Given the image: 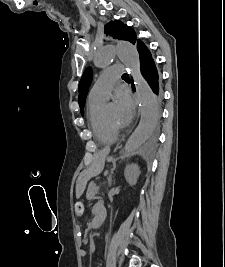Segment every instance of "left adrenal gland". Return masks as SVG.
Segmentation results:
<instances>
[{
  "mask_svg": "<svg viewBox=\"0 0 225 267\" xmlns=\"http://www.w3.org/2000/svg\"><path fill=\"white\" fill-rule=\"evenodd\" d=\"M108 180H109V183L111 185V180H112L111 175L109 176Z\"/></svg>",
  "mask_w": 225,
  "mask_h": 267,
  "instance_id": "a2214340",
  "label": "left adrenal gland"
}]
</instances>
